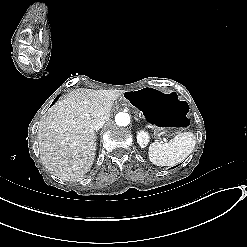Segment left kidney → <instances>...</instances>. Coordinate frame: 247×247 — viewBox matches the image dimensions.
Segmentation results:
<instances>
[{"label": "left kidney", "mask_w": 247, "mask_h": 247, "mask_svg": "<svg viewBox=\"0 0 247 247\" xmlns=\"http://www.w3.org/2000/svg\"><path fill=\"white\" fill-rule=\"evenodd\" d=\"M137 141L140 147H145L148 143V136L143 132H139L137 135Z\"/></svg>", "instance_id": "obj_1"}]
</instances>
